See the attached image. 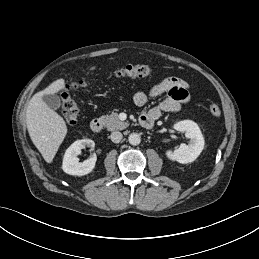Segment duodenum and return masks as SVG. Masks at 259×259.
Wrapping results in <instances>:
<instances>
[{
    "label": "duodenum",
    "mask_w": 259,
    "mask_h": 259,
    "mask_svg": "<svg viewBox=\"0 0 259 259\" xmlns=\"http://www.w3.org/2000/svg\"><path fill=\"white\" fill-rule=\"evenodd\" d=\"M153 122H154V119L149 117V116L142 115L140 117V123L144 127L151 126L153 124ZM90 128L95 133L100 132L102 130V128H103L102 120L100 118L92 119V121L90 122Z\"/></svg>",
    "instance_id": "duodenum-1"
}]
</instances>
